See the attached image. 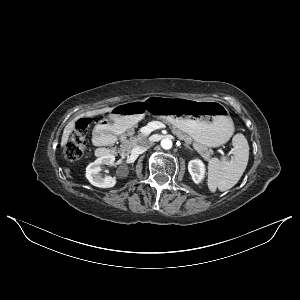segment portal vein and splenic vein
Segmentation results:
<instances>
[{"label":"portal vein and splenic vein","instance_id":"1","mask_svg":"<svg viewBox=\"0 0 300 300\" xmlns=\"http://www.w3.org/2000/svg\"><path fill=\"white\" fill-rule=\"evenodd\" d=\"M163 127V124L158 121H153L144 127L146 134H150L153 130L160 129Z\"/></svg>","mask_w":300,"mask_h":300}]
</instances>
